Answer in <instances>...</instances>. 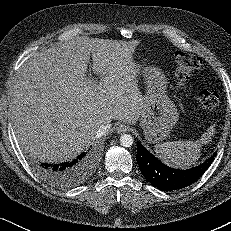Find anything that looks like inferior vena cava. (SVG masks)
Here are the masks:
<instances>
[{
	"instance_id": "obj_1",
	"label": "inferior vena cava",
	"mask_w": 231,
	"mask_h": 231,
	"mask_svg": "<svg viewBox=\"0 0 231 231\" xmlns=\"http://www.w3.org/2000/svg\"><path fill=\"white\" fill-rule=\"evenodd\" d=\"M111 126L112 125L110 123L102 124L97 131V137L99 138V137L104 136L109 131Z\"/></svg>"
}]
</instances>
